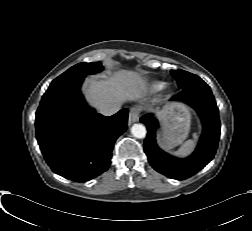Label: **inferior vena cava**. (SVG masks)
<instances>
[{
  "instance_id": "602c4592",
  "label": "inferior vena cava",
  "mask_w": 252,
  "mask_h": 231,
  "mask_svg": "<svg viewBox=\"0 0 252 231\" xmlns=\"http://www.w3.org/2000/svg\"><path fill=\"white\" fill-rule=\"evenodd\" d=\"M98 109L102 115L111 116L121 109V104L119 102H115L112 104L102 105Z\"/></svg>"
}]
</instances>
